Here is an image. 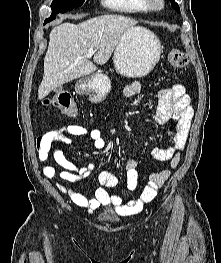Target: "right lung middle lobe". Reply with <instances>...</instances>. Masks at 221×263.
<instances>
[{"label": "right lung middle lobe", "instance_id": "1", "mask_svg": "<svg viewBox=\"0 0 221 263\" xmlns=\"http://www.w3.org/2000/svg\"><path fill=\"white\" fill-rule=\"evenodd\" d=\"M85 0H53L51 4L52 13L45 21L50 22L55 19L56 14L65 13L80 7Z\"/></svg>", "mask_w": 221, "mask_h": 263}]
</instances>
